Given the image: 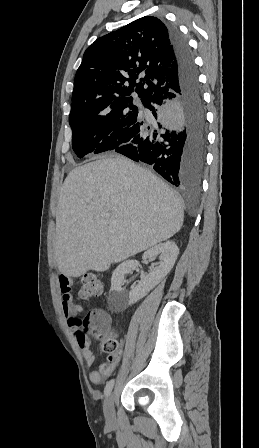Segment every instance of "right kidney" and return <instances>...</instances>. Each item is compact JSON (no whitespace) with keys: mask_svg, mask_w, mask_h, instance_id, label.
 <instances>
[{"mask_svg":"<svg viewBox=\"0 0 259 448\" xmlns=\"http://www.w3.org/2000/svg\"><path fill=\"white\" fill-rule=\"evenodd\" d=\"M178 254L179 250L175 242L157 244V246H153V248L144 252L142 260L152 262L153 258L159 256L161 262L159 264H152V272L147 274V276H142L139 284L135 288H132L130 292H127L121 286H123L124 276L130 274L132 270H136L139 262L137 260H127V262L119 264L111 278V290L108 296V304L111 312H123L128 306H132V304L147 296L148 292L153 290L157 284H160L161 280L172 270Z\"/></svg>","mask_w":259,"mask_h":448,"instance_id":"right-kidney-1","label":"right kidney"}]
</instances>
